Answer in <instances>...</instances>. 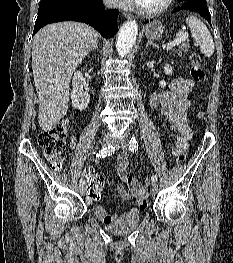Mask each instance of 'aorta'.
Segmentation results:
<instances>
[{
  "instance_id": "aorta-1",
  "label": "aorta",
  "mask_w": 233,
  "mask_h": 263,
  "mask_svg": "<svg viewBox=\"0 0 233 263\" xmlns=\"http://www.w3.org/2000/svg\"><path fill=\"white\" fill-rule=\"evenodd\" d=\"M138 34V25L135 20H130L125 22L118 32L117 38V52L119 56L123 57L128 54L135 41Z\"/></svg>"
}]
</instances>
